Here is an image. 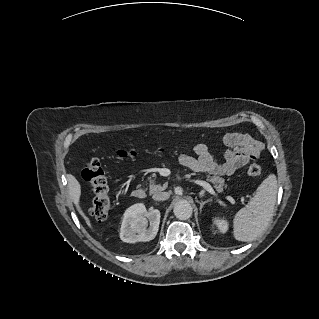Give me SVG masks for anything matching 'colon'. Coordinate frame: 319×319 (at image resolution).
Listing matches in <instances>:
<instances>
[{
	"instance_id": "obj_1",
	"label": "colon",
	"mask_w": 319,
	"mask_h": 319,
	"mask_svg": "<svg viewBox=\"0 0 319 319\" xmlns=\"http://www.w3.org/2000/svg\"><path fill=\"white\" fill-rule=\"evenodd\" d=\"M171 150L172 148L170 147H157L153 149L154 152ZM117 155L119 157H133L137 155V152L135 150H119L117 151ZM261 172V167L256 164L248 168V174L251 176H259ZM81 173L84 180L89 184L93 195L90 213L98 222L105 221L111 206V196L108 179L99 153H95L85 161Z\"/></svg>"
}]
</instances>
